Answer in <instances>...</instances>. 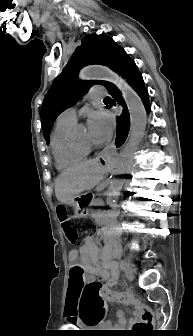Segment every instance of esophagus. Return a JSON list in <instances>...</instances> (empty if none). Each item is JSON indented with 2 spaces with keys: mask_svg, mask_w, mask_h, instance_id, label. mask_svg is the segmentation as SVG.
I'll list each match as a JSON object with an SVG mask.
<instances>
[{
  "mask_svg": "<svg viewBox=\"0 0 193 336\" xmlns=\"http://www.w3.org/2000/svg\"><path fill=\"white\" fill-rule=\"evenodd\" d=\"M116 153H117V147L115 145V142L113 141L99 153L98 161H102L106 157L115 155Z\"/></svg>",
  "mask_w": 193,
  "mask_h": 336,
  "instance_id": "1",
  "label": "esophagus"
}]
</instances>
